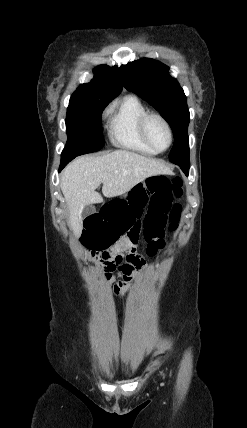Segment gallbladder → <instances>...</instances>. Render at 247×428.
<instances>
[{
  "instance_id": "obj_1",
  "label": "gallbladder",
  "mask_w": 247,
  "mask_h": 428,
  "mask_svg": "<svg viewBox=\"0 0 247 428\" xmlns=\"http://www.w3.org/2000/svg\"><path fill=\"white\" fill-rule=\"evenodd\" d=\"M95 211H96L95 206H93V205H87V206L84 207V209L82 211V217L83 218L88 217V216L94 214Z\"/></svg>"
}]
</instances>
